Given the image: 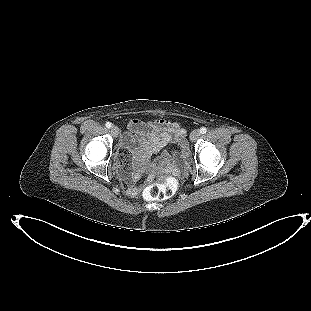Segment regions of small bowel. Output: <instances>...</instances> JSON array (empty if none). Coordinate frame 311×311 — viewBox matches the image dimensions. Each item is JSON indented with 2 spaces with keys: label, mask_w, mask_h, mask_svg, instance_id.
<instances>
[{
  "label": "small bowel",
  "mask_w": 311,
  "mask_h": 311,
  "mask_svg": "<svg viewBox=\"0 0 311 311\" xmlns=\"http://www.w3.org/2000/svg\"><path fill=\"white\" fill-rule=\"evenodd\" d=\"M169 143L176 144L180 148V153L174 155V161L171 160L170 154H166L155 163L154 167L165 166L175 176H181L186 166V160L189 158V151L184 139V130L180 125L165 119H156L149 123L133 120L129 123L128 132L120 141L122 148L120 172L129 183V193L136 192L132 180L139 179L146 172L148 159ZM137 148H141V154L138 160L132 162L129 170L123 165L130 161L131 152ZM125 152H128L129 156Z\"/></svg>",
  "instance_id": "small-bowel-1"
}]
</instances>
